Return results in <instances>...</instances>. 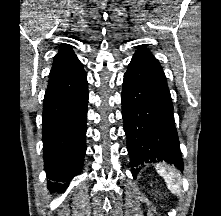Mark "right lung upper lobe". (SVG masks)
<instances>
[{"label": "right lung upper lobe", "mask_w": 221, "mask_h": 216, "mask_svg": "<svg viewBox=\"0 0 221 216\" xmlns=\"http://www.w3.org/2000/svg\"><path fill=\"white\" fill-rule=\"evenodd\" d=\"M83 70L82 63L69 44L63 45L54 57L48 85Z\"/></svg>", "instance_id": "obj_1"}]
</instances>
